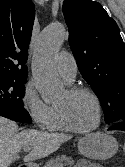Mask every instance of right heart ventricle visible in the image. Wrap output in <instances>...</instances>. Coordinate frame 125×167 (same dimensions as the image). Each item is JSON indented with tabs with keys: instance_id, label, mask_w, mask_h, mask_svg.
<instances>
[{
	"instance_id": "right-heart-ventricle-1",
	"label": "right heart ventricle",
	"mask_w": 125,
	"mask_h": 167,
	"mask_svg": "<svg viewBox=\"0 0 125 167\" xmlns=\"http://www.w3.org/2000/svg\"><path fill=\"white\" fill-rule=\"evenodd\" d=\"M52 107H53L52 116L46 128L50 131H65L66 128L62 123L57 107L56 106Z\"/></svg>"
}]
</instances>
